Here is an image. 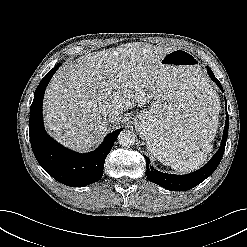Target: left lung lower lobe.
Segmentation results:
<instances>
[{"label": "left lung lower lobe", "instance_id": "1", "mask_svg": "<svg viewBox=\"0 0 247 247\" xmlns=\"http://www.w3.org/2000/svg\"><path fill=\"white\" fill-rule=\"evenodd\" d=\"M207 71L211 79L219 86L221 91H223L221 83L215 78L212 70L209 67H207ZM228 127H229V117H228V113H226V122H225L221 146L217 151V153L203 168L187 175L166 174L159 172L156 169H154L152 166H150L149 164L150 160L147 158L146 155H144V158L146 159V163H147L146 166L147 178L151 182L158 184L171 191H186L197 186L198 184L203 182L207 177H209L218 167L222 159V156L224 154L226 140L228 136Z\"/></svg>", "mask_w": 247, "mask_h": 247}]
</instances>
